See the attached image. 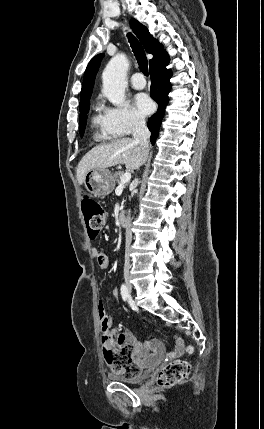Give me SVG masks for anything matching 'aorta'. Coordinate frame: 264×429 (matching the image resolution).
Masks as SVG:
<instances>
[{
	"mask_svg": "<svg viewBox=\"0 0 264 429\" xmlns=\"http://www.w3.org/2000/svg\"><path fill=\"white\" fill-rule=\"evenodd\" d=\"M128 65L127 57L124 54H117L109 61L102 74V92L115 106H121L125 100Z\"/></svg>",
	"mask_w": 264,
	"mask_h": 429,
	"instance_id": "aorta-1",
	"label": "aorta"
}]
</instances>
